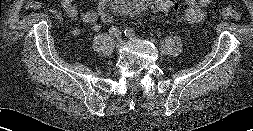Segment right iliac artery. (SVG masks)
<instances>
[{"instance_id":"82829eb1","label":"right iliac artery","mask_w":253,"mask_h":131,"mask_svg":"<svg viewBox=\"0 0 253 131\" xmlns=\"http://www.w3.org/2000/svg\"><path fill=\"white\" fill-rule=\"evenodd\" d=\"M109 33L114 37H118V38L122 37V32L114 26L109 29Z\"/></svg>"}]
</instances>
